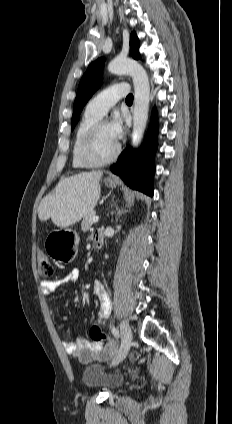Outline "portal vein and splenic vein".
<instances>
[{
    "instance_id": "1",
    "label": "portal vein and splenic vein",
    "mask_w": 232,
    "mask_h": 424,
    "mask_svg": "<svg viewBox=\"0 0 232 424\" xmlns=\"http://www.w3.org/2000/svg\"><path fill=\"white\" fill-rule=\"evenodd\" d=\"M99 221V217L98 216H94L93 218H92V222L93 223H96V222H98Z\"/></svg>"
}]
</instances>
